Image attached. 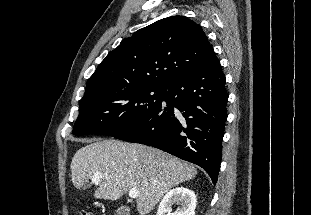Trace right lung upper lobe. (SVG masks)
Here are the masks:
<instances>
[{
	"label": "right lung upper lobe",
	"instance_id": "cb5924a9",
	"mask_svg": "<svg viewBox=\"0 0 311 215\" xmlns=\"http://www.w3.org/2000/svg\"><path fill=\"white\" fill-rule=\"evenodd\" d=\"M216 60L197 23L185 16L167 17L123 39L89 78L83 98L133 87H164Z\"/></svg>",
	"mask_w": 311,
	"mask_h": 215
}]
</instances>
